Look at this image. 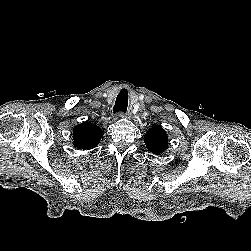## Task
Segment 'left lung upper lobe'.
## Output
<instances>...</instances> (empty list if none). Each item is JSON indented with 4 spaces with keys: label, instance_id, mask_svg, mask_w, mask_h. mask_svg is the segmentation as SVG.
<instances>
[{
    "label": "left lung upper lobe",
    "instance_id": "1",
    "mask_svg": "<svg viewBox=\"0 0 251 251\" xmlns=\"http://www.w3.org/2000/svg\"><path fill=\"white\" fill-rule=\"evenodd\" d=\"M144 142L148 150L154 154H162L168 148V135L161 126L149 129L144 135Z\"/></svg>",
    "mask_w": 251,
    "mask_h": 251
}]
</instances>
